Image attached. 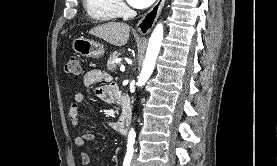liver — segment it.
Segmentation results:
<instances>
[{
    "label": "liver",
    "mask_w": 277,
    "mask_h": 166,
    "mask_svg": "<svg viewBox=\"0 0 277 166\" xmlns=\"http://www.w3.org/2000/svg\"><path fill=\"white\" fill-rule=\"evenodd\" d=\"M129 33L130 27L127 24L115 22L98 25L89 31V34L101 38L114 46L127 44Z\"/></svg>",
    "instance_id": "obj_1"
}]
</instances>
